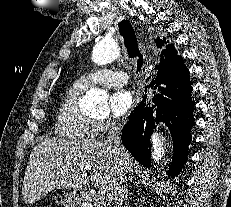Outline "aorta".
<instances>
[{
    "label": "aorta",
    "instance_id": "aorta-1",
    "mask_svg": "<svg viewBox=\"0 0 231 207\" xmlns=\"http://www.w3.org/2000/svg\"><path fill=\"white\" fill-rule=\"evenodd\" d=\"M120 48L116 41L111 38H103L98 41L92 50V60L97 65H106L118 58ZM107 91L100 88H91L81 99V105L88 110L103 112L107 110ZM152 154L154 162L160 161L165 153L164 141L160 134L153 133L151 136Z\"/></svg>",
    "mask_w": 231,
    "mask_h": 207
}]
</instances>
